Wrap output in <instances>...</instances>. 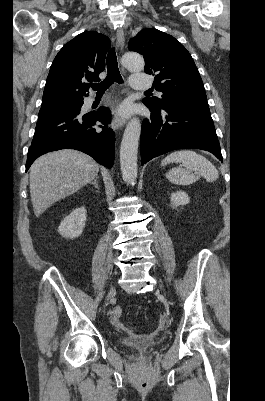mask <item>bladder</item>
I'll return each instance as SVG.
<instances>
[{"label":"bladder","instance_id":"obj_1","mask_svg":"<svg viewBox=\"0 0 265 401\" xmlns=\"http://www.w3.org/2000/svg\"><path fill=\"white\" fill-rule=\"evenodd\" d=\"M121 344L131 348L146 349L151 346H157L159 342L151 337L130 336L126 339H121Z\"/></svg>","mask_w":265,"mask_h":401}]
</instances>
